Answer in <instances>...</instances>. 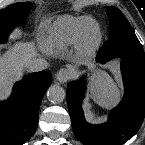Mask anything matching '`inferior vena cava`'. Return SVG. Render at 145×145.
<instances>
[{
	"mask_svg": "<svg viewBox=\"0 0 145 145\" xmlns=\"http://www.w3.org/2000/svg\"><path fill=\"white\" fill-rule=\"evenodd\" d=\"M25 67L29 72L43 71L47 68V61L43 58L29 60L25 63Z\"/></svg>",
	"mask_w": 145,
	"mask_h": 145,
	"instance_id": "obj_1",
	"label": "inferior vena cava"
}]
</instances>
